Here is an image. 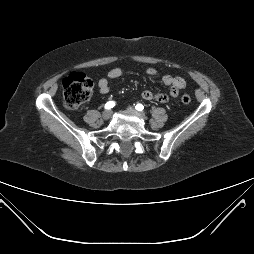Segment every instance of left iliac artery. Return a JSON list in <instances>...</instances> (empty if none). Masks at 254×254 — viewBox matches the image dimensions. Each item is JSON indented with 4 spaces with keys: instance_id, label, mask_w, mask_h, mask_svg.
Returning <instances> with one entry per match:
<instances>
[{
    "instance_id": "44dca946",
    "label": "left iliac artery",
    "mask_w": 254,
    "mask_h": 254,
    "mask_svg": "<svg viewBox=\"0 0 254 254\" xmlns=\"http://www.w3.org/2000/svg\"><path fill=\"white\" fill-rule=\"evenodd\" d=\"M135 108H136V110H138V111H142L143 109H144V106L142 105V104H137L136 106H135Z\"/></svg>"
}]
</instances>
